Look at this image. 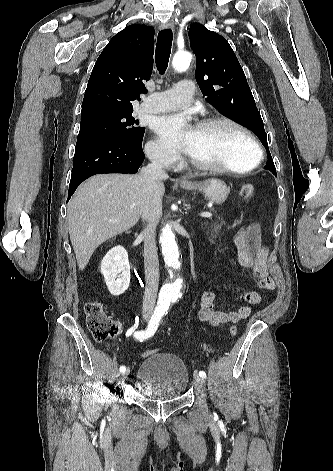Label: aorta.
Segmentation results:
<instances>
[{"label": "aorta", "mask_w": 333, "mask_h": 471, "mask_svg": "<svg viewBox=\"0 0 333 471\" xmlns=\"http://www.w3.org/2000/svg\"><path fill=\"white\" fill-rule=\"evenodd\" d=\"M191 59L192 56L189 52H178L173 57V68L178 72H182L189 67ZM160 244L165 263L171 270V277L170 281L164 284L160 290L158 306L161 308H167L172 299L180 296L183 284L182 279L176 276V272L181 266L180 254L175 240V235L169 224L162 228Z\"/></svg>", "instance_id": "obj_1"}]
</instances>
